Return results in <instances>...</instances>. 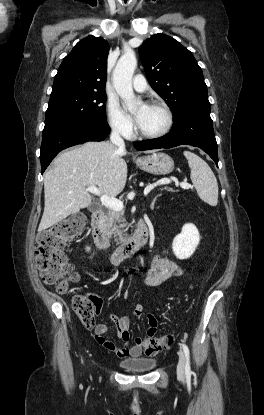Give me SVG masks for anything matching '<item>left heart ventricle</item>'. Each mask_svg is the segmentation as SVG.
Segmentation results:
<instances>
[{"mask_svg":"<svg viewBox=\"0 0 264 415\" xmlns=\"http://www.w3.org/2000/svg\"><path fill=\"white\" fill-rule=\"evenodd\" d=\"M135 116L139 117L138 128L144 133H155L160 131L165 125V114L164 112L155 106H144L139 107Z\"/></svg>","mask_w":264,"mask_h":415,"instance_id":"1","label":"left heart ventricle"}]
</instances>
